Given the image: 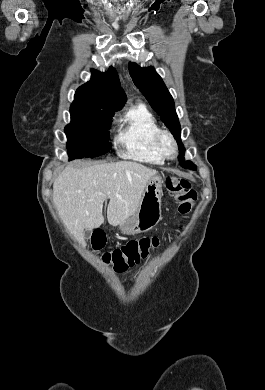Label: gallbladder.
Here are the masks:
<instances>
[{
	"label": "gallbladder",
	"instance_id": "obj_1",
	"mask_svg": "<svg viewBox=\"0 0 265 390\" xmlns=\"http://www.w3.org/2000/svg\"><path fill=\"white\" fill-rule=\"evenodd\" d=\"M84 236H85L86 238H89V237H90V231H89V230H85V231H84Z\"/></svg>",
	"mask_w": 265,
	"mask_h": 390
}]
</instances>
